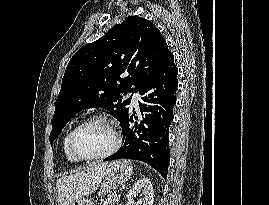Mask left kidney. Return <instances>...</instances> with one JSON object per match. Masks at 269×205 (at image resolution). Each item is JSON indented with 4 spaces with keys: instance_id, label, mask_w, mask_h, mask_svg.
I'll list each match as a JSON object with an SVG mask.
<instances>
[{
    "instance_id": "obj_1",
    "label": "left kidney",
    "mask_w": 269,
    "mask_h": 205,
    "mask_svg": "<svg viewBox=\"0 0 269 205\" xmlns=\"http://www.w3.org/2000/svg\"><path fill=\"white\" fill-rule=\"evenodd\" d=\"M139 193L144 195L139 201V205H153V187L148 178L138 180L130 189L127 194V199L130 205H134V197Z\"/></svg>"
}]
</instances>
